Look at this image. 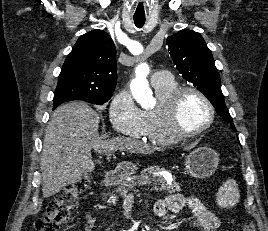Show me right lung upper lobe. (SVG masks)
Wrapping results in <instances>:
<instances>
[{"label": "right lung upper lobe", "instance_id": "obj_1", "mask_svg": "<svg viewBox=\"0 0 268 231\" xmlns=\"http://www.w3.org/2000/svg\"><path fill=\"white\" fill-rule=\"evenodd\" d=\"M56 93L72 100L111 98L117 83L116 49L103 30L82 35L68 54L58 77Z\"/></svg>", "mask_w": 268, "mask_h": 231}]
</instances>
